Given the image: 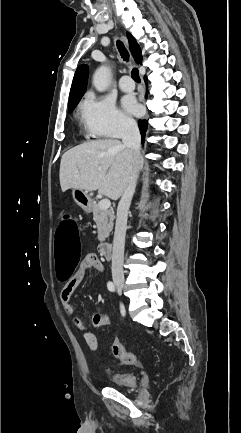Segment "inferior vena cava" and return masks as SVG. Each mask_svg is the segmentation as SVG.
Wrapping results in <instances>:
<instances>
[{
  "instance_id": "602c4592",
  "label": "inferior vena cava",
  "mask_w": 241,
  "mask_h": 433,
  "mask_svg": "<svg viewBox=\"0 0 241 433\" xmlns=\"http://www.w3.org/2000/svg\"><path fill=\"white\" fill-rule=\"evenodd\" d=\"M122 142L127 148H131L136 156L135 171L124 190L117 207V217L115 233L113 240L112 253V278L114 281L124 280L123 261L125 235L127 229V217L129 207L135 192L137 182V172L140 164L141 135L137 123L134 120H128L124 123L122 131Z\"/></svg>"
}]
</instances>
